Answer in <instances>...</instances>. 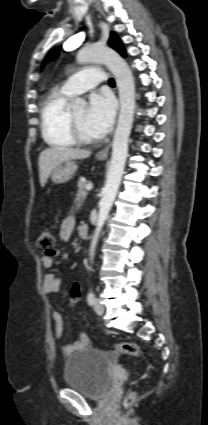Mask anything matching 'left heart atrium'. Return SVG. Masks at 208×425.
I'll return each instance as SVG.
<instances>
[{"mask_svg": "<svg viewBox=\"0 0 208 425\" xmlns=\"http://www.w3.org/2000/svg\"><path fill=\"white\" fill-rule=\"evenodd\" d=\"M115 117V104L108 95H92L85 115L88 129L97 137L109 132Z\"/></svg>", "mask_w": 208, "mask_h": 425, "instance_id": "left-heart-atrium-1", "label": "left heart atrium"}]
</instances>
